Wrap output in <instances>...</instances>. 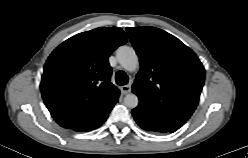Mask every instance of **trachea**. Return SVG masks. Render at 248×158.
<instances>
[{
	"label": "trachea",
	"instance_id": "obj_1",
	"mask_svg": "<svg viewBox=\"0 0 248 158\" xmlns=\"http://www.w3.org/2000/svg\"><path fill=\"white\" fill-rule=\"evenodd\" d=\"M116 83L121 86L128 83V76L124 71L120 70L116 73Z\"/></svg>",
	"mask_w": 248,
	"mask_h": 158
}]
</instances>
